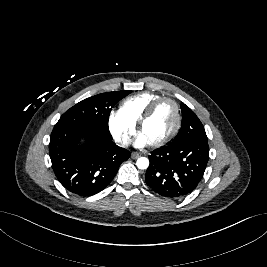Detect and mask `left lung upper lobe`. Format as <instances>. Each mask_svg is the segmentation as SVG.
<instances>
[{
	"label": "left lung upper lobe",
	"mask_w": 267,
	"mask_h": 267,
	"mask_svg": "<svg viewBox=\"0 0 267 267\" xmlns=\"http://www.w3.org/2000/svg\"><path fill=\"white\" fill-rule=\"evenodd\" d=\"M182 110V125L177 136L170 145L187 141L208 143L205 129L196 114L185 104L180 105Z\"/></svg>",
	"instance_id": "5c2ea615"
}]
</instances>
